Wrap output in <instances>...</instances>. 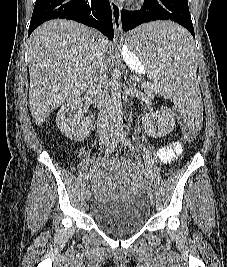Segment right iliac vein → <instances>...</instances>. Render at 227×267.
<instances>
[{
	"label": "right iliac vein",
	"mask_w": 227,
	"mask_h": 267,
	"mask_svg": "<svg viewBox=\"0 0 227 267\" xmlns=\"http://www.w3.org/2000/svg\"><path fill=\"white\" fill-rule=\"evenodd\" d=\"M101 142L105 146L109 145V143H110L109 137H102L101 138ZM90 197H91V190H90V187L88 186V188H87V190L85 192V199L89 200Z\"/></svg>",
	"instance_id": "obj_1"
}]
</instances>
